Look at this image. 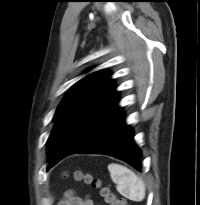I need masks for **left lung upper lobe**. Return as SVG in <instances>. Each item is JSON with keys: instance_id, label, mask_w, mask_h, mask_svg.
I'll list each match as a JSON object with an SVG mask.
<instances>
[{"instance_id": "left-lung-upper-lobe-1", "label": "left lung upper lobe", "mask_w": 200, "mask_h": 205, "mask_svg": "<svg viewBox=\"0 0 200 205\" xmlns=\"http://www.w3.org/2000/svg\"><path fill=\"white\" fill-rule=\"evenodd\" d=\"M110 74L92 73L77 82L62 103L48 139L49 166L63 159L84 138L118 97ZM48 167L47 169H50Z\"/></svg>"}]
</instances>
